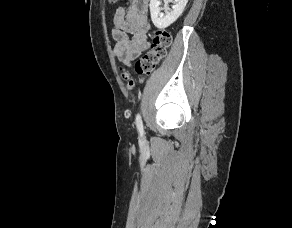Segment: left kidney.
<instances>
[{"label": "left kidney", "instance_id": "5707ae66", "mask_svg": "<svg viewBox=\"0 0 292 228\" xmlns=\"http://www.w3.org/2000/svg\"><path fill=\"white\" fill-rule=\"evenodd\" d=\"M167 3L174 1L172 10H165V14L161 12L160 0H150V13L153 24L159 28L164 29L175 22L183 13L188 0H165Z\"/></svg>", "mask_w": 292, "mask_h": 228}]
</instances>
